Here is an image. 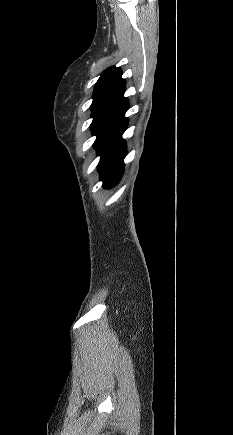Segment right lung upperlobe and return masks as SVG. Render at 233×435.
I'll return each instance as SVG.
<instances>
[{"label": "right lung upper lobe", "instance_id": "right-lung-upper-lobe-1", "mask_svg": "<svg viewBox=\"0 0 233 435\" xmlns=\"http://www.w3.org/2000/svg\"><path fill=\"white\" fill-rule=\"evenodd\" d=\"M119 67H110L100 76L93 92L91 116L112 115L124 117L129 108L124 97L125 80Z\"/></svg>", "mask_w": 233, "mask_h": 435}]
</instances>
